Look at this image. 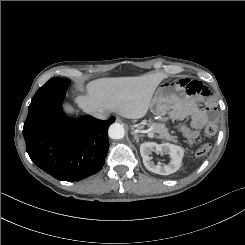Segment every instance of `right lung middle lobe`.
Wrapping results in <instances>:
<instances>
[{"label":"right lung middle lobe","mask_w":245,"mask_h":245,"mask_svg":"<svg viewBox=\"0 0 245 245\" xmlns=\"http://www.w3.org/2000/svg\"><path fill=\"white\" fill-rule=\"evenodd\" d=\"M53 79L66 80V78H53Z\"/></svg>","instance_id":"obj_1"}]
</instances>
